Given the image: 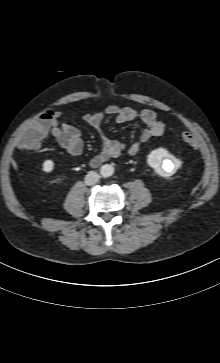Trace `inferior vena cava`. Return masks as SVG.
Listing matches in <instances>:
<instances>
[{
  "label": "inferior vena cava",
  "instance_id": "obj_1",
  "mask_svg": "<svg viewBox=\"0 0 220 363\" xmlns=\"http://www.w3.org/2000/svg\"><path fill=\"white\" fill-rule=\"evenodd\" d=\"M100 176L98 173L94 171H89L85 176V183L86 185H94L98 182Z\"/></svg>",
  "mask_w": 220,
  "mask_h": 363
}]
</instances>
